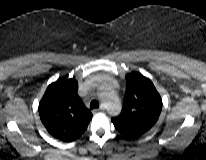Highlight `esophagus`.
I'll return each mask as SVG.
<instances>
[{
  "label": "esophagus",
  "mask_w": 206,
  "mask_h": 160,
  "mask_svg": "<svg viewBox=\"0 0 206 160\" xmlns=\"http://www.w3.org/2000/svg\"><path fill=\"white\" fill-rule=\"evenodd\" d=\"M95 111H100V112L105 111L104 105H101V106H100L98 109H96Z\"/></svg>",
  "instance_id": "obj_1"
}]
</instances>
